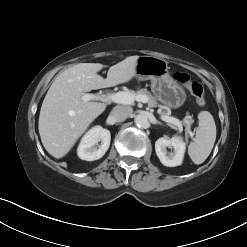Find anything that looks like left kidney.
Instances as JSON below:
<instances>
[{"label":"left kidney","mask_w":247,"mask_h":247,"mask_svg":"<svg viewBox=\"0 0 247 247\" xmlns=\"http://www.w3.org/2000/svg\"><path fill=\"white\" fill-rule=\"evenodd\" d=\"M167 147L173 148L174 153H168ZM186 143L180 136L172 138L161 137L155 142V151L160 162L168 167H175L182 164Z\"/></svg>","instance_id":"obj_1"}]
</instances>
